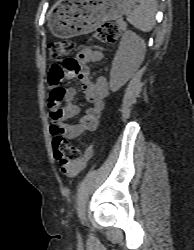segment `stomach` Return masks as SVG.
I'll use <instances>...</instances> for the list:
<instances>
[{
	"mask_svg": "<svg viewBox=\"0 0 194 250\" xmlns=\"http://www.w3.org/2000/svg\"><path fill=\"white\" fill-rule=\"evenodd\" d=\"M138 0H59L51 9L48 26L59 38L90 33L108 20H116Z\"/></svg>",
	"mask_w": 194,
	"mask_h": 250,
	"instance_id": "1",
	"label": "stomach"
}]
</instances>
